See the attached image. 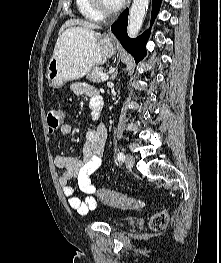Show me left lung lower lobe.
<instances>
[{
  "label": "left lung lower lobe",
  "instance_id": "0a47b994",
  "mask_svg": "<svg viewBox=\"0 0 221 263\" xmlns=\"http://www.w3.org/2000/svg\"><path fill=\"white\" fill-rule=\"evenodd\" d=\"M162 0L152 1V14L151 23L159 12ZM127 23H128V9H126L119 20H117L112 26L111 31L119 39L122 46L134 57L136 63L141 61L146 55V42L148 40L150 30L144 32L136 39H130L127 35Z\"/></svg>",
  "mask_w": 221,
  "mask_h": 263
}]
</instances>
